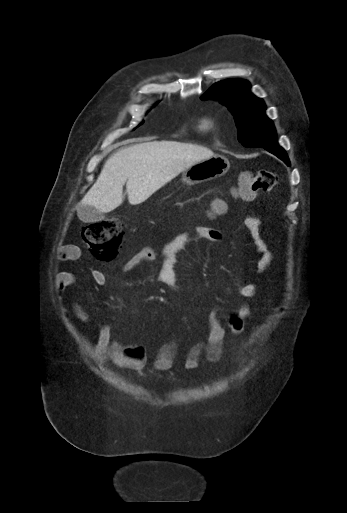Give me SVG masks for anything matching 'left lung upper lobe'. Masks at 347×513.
<instances>
[{
  "instance_id": "obj_1",
  "label": "left lung upper lobe",
  "mask_w": 347,
  "mask_h": 513,
  "mask_svg": "<svg viewBox=\"0 0 347 513\" xmlns=\"http://www.w3.org/2000/svg\"><path fill=\"white\" fill-rule=\"evenodd\" d=\"M201 99H215L229 108L236 121L238 140L244 146H278L275 127L265 115L266 106L262 99L250 92L248 81L230 79L218 82Z\"/></svg>"
}]
</instances>
